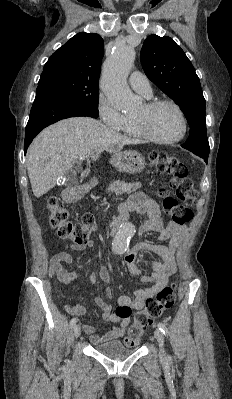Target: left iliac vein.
<instances>
[{
  "label": "left iliac vein",
  "instance_id": "4c4485c4",
  "mask_svg": "<svg viewBox=\"0 0 232 399\" xmlns=\"http://www.w3.org/2000/svg\"><path fill=\"white\" fill-rule=\"evenodd\" d=\"M155 340H158L159 355L160 356H165L166 355V350L164 349L165 338L163 337V332H160L159 330H156L155 331Z\"/></svg>",
  "mask_w": 232,
  "mask_h": 399
}]
</instances>
